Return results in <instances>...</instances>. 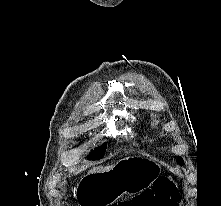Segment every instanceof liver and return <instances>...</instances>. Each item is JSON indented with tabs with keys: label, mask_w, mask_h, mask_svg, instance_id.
Wrapping results in <instances>:
<instances>
[{
	"label": "liver",
	"mask_w": 221,
	"mask_h": 206,
	"mask_svg": "<svg viewBox=\"0 0 221 206\" xmlns=\"http://www.w3.org/2000/svg\"><path fill=\"white\" fill-rule=\"evenodd\" d=\"M113 166H106V167H94L93 169H91L89 171L88 174H95V173H104V172H108Z\"/></svg>",
	"instance_id": "6515ba94"
}]
</instances>
